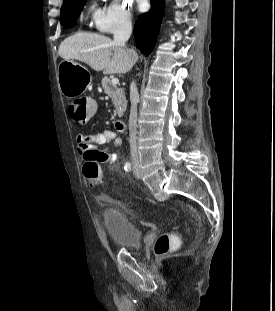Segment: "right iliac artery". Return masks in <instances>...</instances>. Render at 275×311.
I'll use <instances>...</instances> for the list:
<instances>
[{"instance_id":"82829eb1","label":"right iliac artery","mask_w":275,"mask_h":311,"mask_svg":"<svg viewBox=\"0 0 275 311\" xmlns=\"http://www.w3.org/2000/svg\"><path fill=\"white\" fill-rule=\"evenodd\" d=\"M124 169L126 171H130L131 170V163L130 162H126L125 166H124Z\"/></svg>"}]
</instances>
